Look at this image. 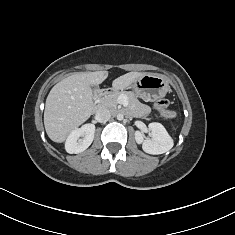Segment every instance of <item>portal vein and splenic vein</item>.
<instances>
[{"label": "portal vein and splenic vein", "mask_w": 235, "mask_h": 235, "mask_svg": "<svg viewBox=\"0 0 235 235\" xmlns=\"http://www.w3.org/2000/svg\"><path fill=\"white\" fill-rule=\"evenodd\" d=\"M119 99H120L121 104H123L124 106H128V101L125 96H120Z\"/></svg>", "instance_id": "obj_1"}]
</instances>
